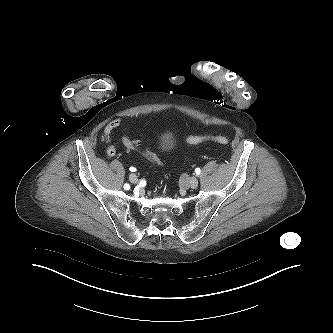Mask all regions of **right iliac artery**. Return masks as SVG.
I'll use <instances>...</instances> for the list:
<instances>
[{
  "label": "right iliac artery",
  "instance_id": "obj_1",
  "mask_svg": "<svg viewBox=\"0 0 333 333\" xmlns=\"http://www.w3.org/2000/svg\"><path fill=\"white\" fill-rule=\"evenodd\" d=\"M124 189L125 190H129L130 189V185L128 183L124 184Z\"/></svg>",
  "mask_w": 333,
  "mask_h": 333
}]
</instances>
